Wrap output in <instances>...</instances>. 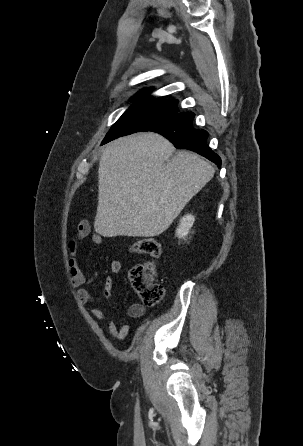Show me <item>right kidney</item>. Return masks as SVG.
I'll list each match as a JSON object with an SVG mask.
<instances>
[{
	"label": "right kidney",
	"instance_id": "1",
	"mask_svg": "<svg viewBox=\"0 0 303 446\" xmlns=\"http://www.w3.org/2000/svg\"><path fill=\"white\" fill-rule=\"evenodd\" d=\"M194 221H195V218L191 214H187L184 217H182L180 220V224H179L178 228L176 229V236L179 239L185 240V238L189 234L191 227L194 224Z\"/></svg>",
	"mask_w": 303,
	"mask_h": 446
}]
</instances>
